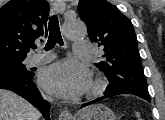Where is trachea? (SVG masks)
I'll return each mask as SVG.
<instances>
[{
  "mask_svg": "<svg viewBox=\"0 0 165 120\" xmlns=\"http://www.w3.org/2000/svg\"><path fill=\"white\" fill-rule=\"evenodd\" d=\"M56 43H58L59 45H63L58 17L56 15H53L49 20V37L45 50H51L52 48H54ZM32 48L36 49V46L34 45Z\"/></svg>",
  "mask_w": 165,
  "mask_h": 120,
  "instance_id": "1",
  "label": "trachea"
}]
</instances>
